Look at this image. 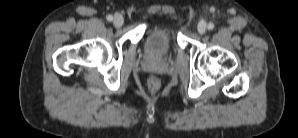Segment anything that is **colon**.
<instances>
[{
  "label": "colon",
  "instance_id": "colon-1",
  "mask_svg": "<svg viewBox=\"0 0 298 138\" xmlns=\"http://www.w3.org/2000/svg\"><path fill=\"white\" fill-rule=\"evenodd\" d=\"M148 86L151 90H156L159 88L160 86V81L158 78L156 77H151L149 80H148Z\"/></svg>",
  "mask_w": 298,
  "mask_h": 138
}]
</instances>
